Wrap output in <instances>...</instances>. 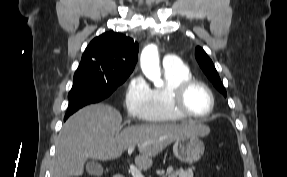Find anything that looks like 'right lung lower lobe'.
<instances>
[{
  "mask_svg": "<svg viewBox=\"0 0 287 177\" xmlns=\"http://www.w3.org/2000/svg\"><path fill=\"white\" fill-rule=\"evenodd\" d=\"M103 99H105V97L97 94H83L70 98L68 110L64 120H66L71 114L84 107L85 105L97 103Z\"/></svg>",
  "mask_w": 287,
  "mask_h": 177,
  "instance_id": "obj_1",
  "label": "right lung lower lobe"
}]
</instances>
